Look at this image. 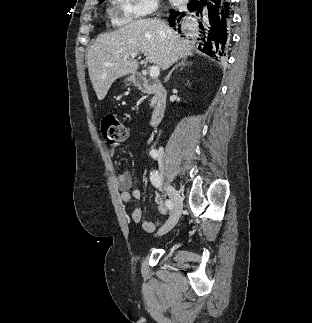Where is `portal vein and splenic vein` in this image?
<instances>
[{"instance_id": "1", "label": "portal vein and splenic vein", "mask_w": 312, "mask_h": 323, "mask_svg": "<svg viewBox=\"0 0 312 323\" xmlns=\"http://www.w3.org/2000/svg\"><path fill=\"white\" fill-rule=\"evenodd\" d=\"M131 58H135L137 56V52H134V54H130ZM160 74V68L158 66H151L150 68V76L151 78H158Z\"/></svg>"}]
</instances>
